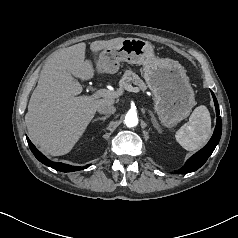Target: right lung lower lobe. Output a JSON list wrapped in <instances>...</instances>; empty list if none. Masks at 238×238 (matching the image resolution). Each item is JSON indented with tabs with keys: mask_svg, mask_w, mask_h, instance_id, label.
Listing matches in <instances>:
<instances>
[{
	"mask_svg": "<svg viewBox=\"0 0 238 238\" xmlns=\"http://www.w3.org/2000/svg\"><path fill=\"white\" fill-rule=\"evenodd\" d=\"M27 141L29 144V147L31 149V151L33 152V154L35 155V157L42 162L43 164L57 170V171H61V172H72V171H78V170H82L86 167H75V166H71L68 164H63V163H57V162H53L50 161L48 158H46L41 152H39L35 146L31 143V141L29 140V138L27 137Z\"/></svg>",
	"mask_w": 238,
	"mask_h": 238,
	"instance_id": "right-lung-lower-lobe-1",
	"label": "right lung lower lobe"
}]
</instances>
